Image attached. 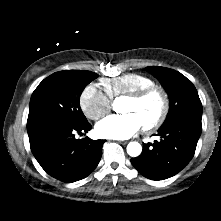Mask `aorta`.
<instances>
[{"label":"aorta","mask_w":221,"mask_h":221,"mask_svg":"<svg viewBox=\"0 0 221 221\" xmlns=\"http://www.w3.org/2000/svg\"><path fill=\"white\" fill-rule=\"evenodd\" d=\"M142 152V146L138 142H130L127 145V153L131 157H137L141 154Z\"/></svg>","instance_id":"aorta-1"}]
</instances>
